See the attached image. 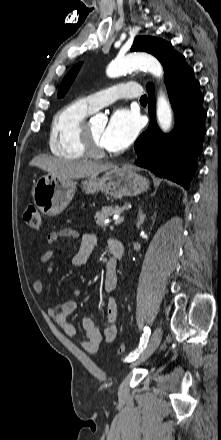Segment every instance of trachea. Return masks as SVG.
Masks as SVG:
<instances>
[{"label":"trachea","instance_id":"trachea-1","mask_svg":"<svg viewBox=\"0 0 221 440\" xmlns=\"http://www.w3.org/2000/svg\"><path fill=\"white\" fill-rule=\"evenodd\" d=\"M147 96L146 95H144V96H142L141 98H140V102H147Z\"/></svg>","mask_w":221,"mask_h":440}]
</instances>
